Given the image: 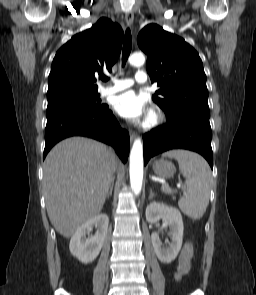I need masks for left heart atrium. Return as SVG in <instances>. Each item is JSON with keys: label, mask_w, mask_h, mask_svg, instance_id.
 I'll return each mask as SVG.
<instances>
[{"label": "left heart atrium", "mask_w": 256, "mask_h": 295, "mask_svg": "<svg viewBox=\"0 0 256 295\" xmlns=\"http://www.w3.org/2000/svg\"><path fill=\"white\" fill-rule=\"evenodd\" d=\"M113 107L119 115L131 121H140L147 113L145 98L132 90L117 96Z\"/></svg>", "instance_id": "obj_1"}]
</instances>
